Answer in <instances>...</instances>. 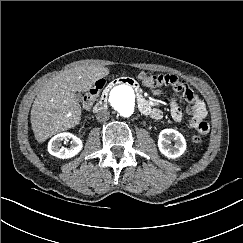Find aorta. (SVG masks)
<instances>
[{"label": "aorta", "instance_id": "762f6f07", "mask_svg": "<svg viewBox=\"0 0 243 243\" xmlns=\"http://www.w3.org/2000/svg\"><path fill=\"white\" fill-rule=\"evenodd\" d=\"M111 106L124 117H129L135 110V93L132 87L120 84L109 93Z\"/></svg>", "mask_w": 243, "mask_h": 243}]
</instances>
